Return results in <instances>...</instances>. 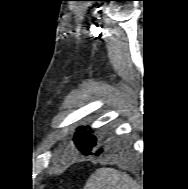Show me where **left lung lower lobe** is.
Masks as SVG:
<instances>
[{
	"instance_id": "left-lung-lower-lobe-1",
	"label": "left lung lower lobe",
	"mask_w": 188,
	"mask_h": 189,
	"mask_svg": "<svg viewBox=\"0 0 188 189\" xmlns=\"http://www.w3.org/2000/svg\"><path fill=\"white\" fill-rule=\"evenodd\" d=\"M101 152H102V150H101V149H100V150H98V151L96 152V155H99ZM89 154H92V153H89Z\"/></svg>"
}]
</instances>
